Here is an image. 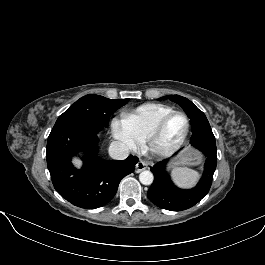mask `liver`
Here are the masks:
<instances>
[{"instance_id":"obj_1","label":"liver","mask_w":265,"mask_h":265,"mask_svg":"<svg viewBox=\"0 0 265 265\" xmlns=\"http://www.w3.org/2000/svg\"><path fill=\"white\" fill-rule=\"evenodd\" d=\"M73 163L75 164L76 167H80L81 164H82V162H81L79 159H77V158H75V159L73 160Z\"/></svg>"}]
</instances>
